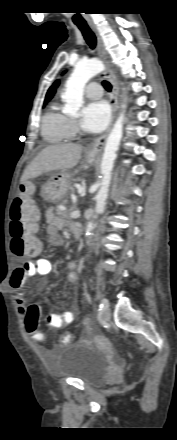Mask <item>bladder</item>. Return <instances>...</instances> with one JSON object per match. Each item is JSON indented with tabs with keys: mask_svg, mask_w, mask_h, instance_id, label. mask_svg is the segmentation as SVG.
I'll return each mask as SVG.
<instances>
[{
	"mask_svg": "<svg viewBox=\"0 0 177 440\" xmlns=\"http://www.w3.org/2000/svg\"><path fill=\"white\" fill-rule=\"evenodd\" d=\"M107 355L96 348L68 344L62 346L55 367L59 377H72L87 385H98L104 381Z\"/></svg>",
	"mask_w": 177,
	"mask_h": 440,
	"instance_id": "31cf9c89",
	"label": "bladder"
}]
</instances>
